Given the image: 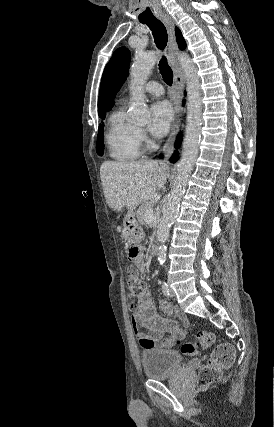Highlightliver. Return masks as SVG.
I'll list each match as a JSON object with an SVG mask.
<instances>
[{
  "label": "liver",
  "instance_id": "6515ba94",
  "mask_svg": "<svg viewBox=\"0 0 274 427\" xmlns=\"http://www.w3.org/2000/svg\"><path fill=\"white\" fill-rule=\"evenodd\" d=\"M167 168L158 162H103L100 168L105 200L111 210L127 208L133 214L137 206L154 200L167 182Z\"/></svg>",
  "mask_w": 274,
  "mask_h": 427
}]
</instances>
